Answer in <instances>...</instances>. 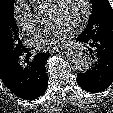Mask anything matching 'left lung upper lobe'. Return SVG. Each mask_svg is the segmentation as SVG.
<instances>
[{"instance_id": "obj_1", "label": "left lung upper lobe", "mask_w": 113, "mask_h": 113, "mask_svg": "<svg viewBox=\"0 0 113 113\" xmlns=\"http://www.w3.org/2000/svg\"><path fill=\"white\" fill-rule=\"evenodd\" d=\"M92 14L83 31L92 36L98 33L113 34V10L108 0H91Z\"/></svg>"}]
</instances>
